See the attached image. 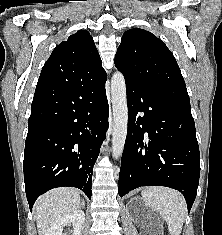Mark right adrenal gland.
<instances>
[{"instance_id": "obj_1", "label": "right adrenal gland", "mask_w": 222, "mask_h": 235, "mask_svg": "<svg viewBox=\"0 0 222 235\" xmlns=\"http://www.w3.org/2000/svg\"><path fill=\"white\" fill-rule=\"evenodd\" d=\"M81 207H82V208H85V202H84V201H82Z\"/></svg>"}]
</instances>
